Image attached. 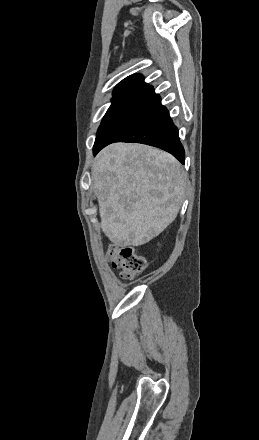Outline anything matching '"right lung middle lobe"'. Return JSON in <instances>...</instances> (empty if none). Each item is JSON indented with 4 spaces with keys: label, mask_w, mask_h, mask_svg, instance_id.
Instances as JSON below:
<instances>
[{
    "label": "right lung middle lobe",
    "mask_w": 259,
    "mask_h": 440,
    "mask_svg": "<svg viewBox=\"0 0 259 440\" xmlns=\"http://www.w3.org/2000/svg\"><path fill=\"white\" fill-rule=\"evenodd\" d=\"M146 94H117L114 95L112 105L103 117L98 129L96 141L105 138L118 124H120L132 110L143 100Z\"/></svg>",
    "instance_id": "dd1d6c3e"
}]
</instances>
